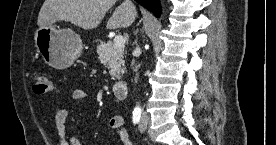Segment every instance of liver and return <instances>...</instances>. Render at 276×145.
Instances as JSON below:
<instances>
[{"instance_id": "1", "label": "liver", "mask_w": 276, "mask_h": 145, "mask_svg": "<svg viewBox=\"0 0 276 145\" xmlns=\"http://www.w3.org/2000/svg\"><path fill=\"white\" fill-rule=\"evenodd\" d=\"M116 0H45L37 20L38 27L67 21L89 30L96 28ZM135 7L122 3L107 23V28H127L136 17Z\"/></svg>"}]
</instances>
